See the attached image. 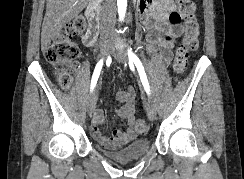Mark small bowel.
Here are the masks:
<instances>
[{"instance_id": "small-bowel-1", "label": "small bowel", "mask_w": 244, "mask_h": 179, "mask_svg": "<svg viewBox=\"0 0 244 179\" xmlns=\"http://www.w3.org/2000/svg\"><path fill=\"white\" fill-rule=\"evenodd\" d=\"M173 0L142 1L138 4L137 13L139 21L146 30V50L149 56L169 63L172 59V50L175 39L180 35L178 16ZM83 43L92 46L88 35L83 37ZM122 103L114 116L120 117L125 122L124 130L103 129L107 120L101 110H95L92 121L94 137L104 146L116 147L127 144L135 138V92L129 87L117 94Z\"/></svg>"}]
</instances>
